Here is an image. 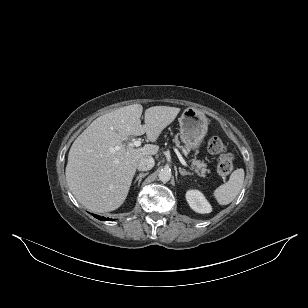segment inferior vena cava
<instances>
[{"instance_id": "1", "label": "inferior vena cava", "mask_w": 308, "mask_h": 308, "mask_svg": "<svg viewBox=\"0 0 308 308\" xmlns=\"http://www.w3.org/2000/svg\"><path fill=\"white\" fill-rule=\"evenodd\" d=\"M155 161L152 156L142 157L137 165L139 171H148L154 167Z\"/></svg>"}]
</instances>
